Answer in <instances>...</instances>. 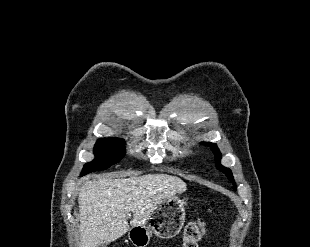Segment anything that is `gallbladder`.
Instances as JSON below:
<instances>
[{"label": "gallbladder", "mask_w": 310, "mask_h": 247, "mask_svg": "<svg viewBox=\"0 0 310 247\" xmlns=\"http://www.w3.org/2000/svg\"><path fill=\"white\" fill-rule=\"evenodd\" d=\"M97 247H107L106 242H100Z\"/></svg>", "instance_id": "1"}]
</instances>
